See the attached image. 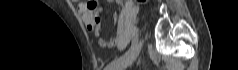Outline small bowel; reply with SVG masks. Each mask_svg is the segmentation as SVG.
<instances>
[{
	"mask_svg": "<svg viewBox=\"0 0 238 70\" xmlns=\"http://www.w3.org/2000/svg\"><path fill=\"white\" fill-rule=\"evenodd\" d=\"M78 12L83 23L87 26L88 30L94 32V34L99 39V44L103 48H112L118 44V39L113 38L110 41L104 39L102 22L100 17V8L97 4L93 2L80 3L78 6ZM114 20H116V14L113 15Z\"/></svg>",
	"mask_w": 238,
	"mask_h": 70,
	"instance_id": "small-bowel-1",
	"label": "small bowel"
}]
</instances>
